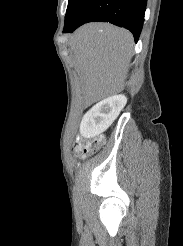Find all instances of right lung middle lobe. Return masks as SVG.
<instances>
[{
  "instance_id": "1",
  "label": "right lung middle lobe",
  "mask_w": 183,
  "mask_h": 246,
  "mask_svg": "<svg viewBox=\"0 0 183 246\" xmlns=\"http://www.w3.org/2000/svg\"><path fill=\"white\" fill-rule=\"evenodd\" d=\"M81 0H69L68 1V7H67V13L65 15V20L68 19L71 14L73 13L74 9L77 7L78 3L80 2Z\"/></svg>"
}]
</instances>
